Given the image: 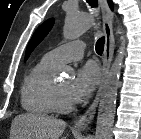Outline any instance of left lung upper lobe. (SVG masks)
<instances>
[{"label": "left lung upper lobe", "instance_id": "obj_1", "mask_svg": "<svg viewBox=\"0 0 141 139\" xmlns=\"http://www.w3.org/2000/svg\"><path fill=\"white\" fill-rule=\"evenodd\" d=\"M54 23L53 19H48L45 21L42 25H40L35 33L33 34L25 54V59H27L30 55V53L33 51V49L43 40V38L48 34L50 29L52 28Z\"/></svg>", "mask_w": 141, "mask_h": 139}]
</instances>
